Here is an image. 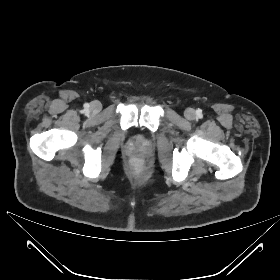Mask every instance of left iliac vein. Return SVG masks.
Instances as JSON below:
<instances>
[{
	"mask_svg": "<svg viewBox=\"0 0 280 280\" xmlns=\"http://www.w3.org/2000/svg\"><path fill=\"white\" fill-rule=\"evenodd\" d=\"M185 117L189 120H192L196 117V113L192 108H188L185 110Z\"/></svg>",
	"mask_w": 280,
	"mask_h": 280,
	"instance_id": "4c4485c4",
	"label": "left iliac vein"
}]
</instances>
